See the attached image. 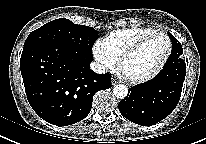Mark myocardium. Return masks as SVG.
Wrapping results in <instances>:
<instances>
[{"mask_svg":"<svg viewBox=\"0 0 206 144\" xmlns=\"http://www.w3.org/2000/svg\"><path fill=\"white\" fill-rule=\"evenodd\" d=\"M156 36H161V37L165 38L167 41V52H166V55H165L163 61L161 62V64L152 73H150L146 76H143V77L134 78V77H130V76L126 75L124 73V70H123V66H124V63L126 62V60L128 58H130L132 55H134L147 41H149L150 39H152ZM172 49H173V44H172L170 37L164 32L156 31L154 33H151L149 35L142 37L141 39H139L137 42L132 44L129 48H127L122 53V55L119 58V70L123 74L124 78L132 84H144V83L150 82V81L154 80L155 78H157L162 73V71L165 69L166 65L168 64V62L170 60V57L172 54Z\"/></svg>","mask_w":206,"mask_h":144,"instance_id":"myocardium-1","label":"myocardium"}]
</instances>
